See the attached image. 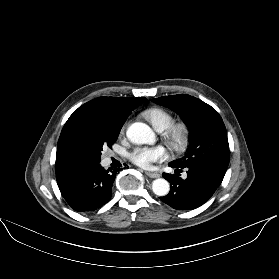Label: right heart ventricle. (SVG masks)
I'll return each mask as SVG.
<instances>
[{
	"label": "right heart ventricle",
	"mask_w": 279,
	"mask_h": 279,
	"mask_svg": "<svg viewBox=\"0 0 279 279\" xmlns=\"http://www.w3.org/2000/svg\"><path fill=\"white\" fill-rule=\"evenodd\" d=\"M144 116L157 131H164L175 120L170 112L161 108L148 109Z\"/></svg>",
	"instance_id": "right-heart-ventricle-1"
}]
</instances>
